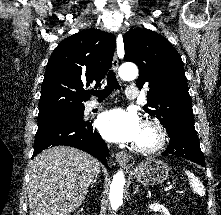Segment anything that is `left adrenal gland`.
<instances>
[{"instance_id": "obj_1", "label": "left adrenal gland", "mask_w": 221, "mask_h": 215, "mask_svg": "<svg viewBox=\"0 0 221 215\" xmlns=\"http://www.w3.org/2000/svg\"><path fill=\"white\" fill-rule=\"evenodd\" d=\"M139 192H140L139 185L137 184L133 194H136V193H139Z\"/></svg>"}]
</instances>
